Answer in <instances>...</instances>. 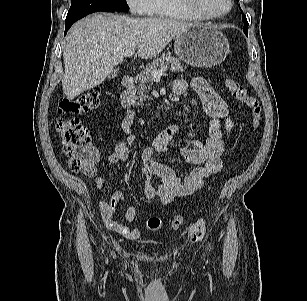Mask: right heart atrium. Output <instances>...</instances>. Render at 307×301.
<instances>
[{
  "mask_svg": "<svg viewBox=\"0 0 307 301\" xmlns=\"http://www.w3.org/2000/svg\"><path fill=\"white\" fill-rule=\"evenodd\" d=\"M126 3L132 13L149 15L153 9L154 0H126Z\"/></svg>",
  "mask_w": 307,
  "mask_h": 301,
  "instance_id": "right-heart-atrium-1",
  "label": "right heart atrium"
}]
</instances>
